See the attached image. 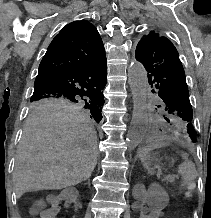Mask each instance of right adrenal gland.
I'll return each mask as SVG.
<instances>
[{"mask_svg":"<svg viewBox=\"0 0 211 218\" xmlns=\"http://www.w3.org/2000/svg\"><path fill=\"white\" fill-rule=\"evenodd\" d=\"M88 184H90V180H88Z\"/></svg>","mask_w":211,"mask_h":218,"instance_id":"1","label":"right adrenal gland"}]
</instances>
